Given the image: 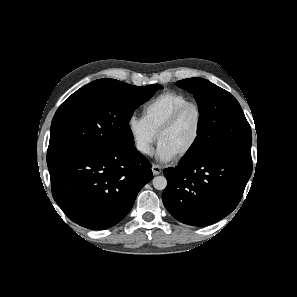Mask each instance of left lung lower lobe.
<instances>
[{"label":"left lung lower lobe","mask_w":297,"mask_h":297,"mask_svg":"<svg viewBox=\"0 0 297 297\" xmlns=\"http://www.w3.org/2000/svg\"><path fill=\"white\" fill-rule=\"evenodd\" d=\"M252 173V162L210 154L182 159L164 170L167 187L162 194L168 212L178 221L207 226L238 205Z\"/></svg>","instance_id":"1"}]
</instances>
